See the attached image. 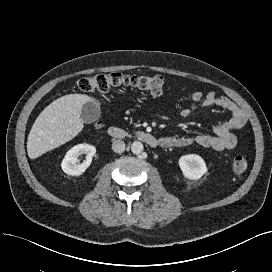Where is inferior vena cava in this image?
Returning a JSON list of instances; mask_svg holds the SVG:
<instances>
[{
	"label": "inferior vena cava",
	"instance_id": "obj_1",
	"mask_svg": "<svg viewBox=\"0 0 272 272\" xmlns=\"http://www.w3.org/2000/svg\"><path fill=\"white\" fill-rule=\"evenodd\" d=\"M112 150L115 153H122L125 151V143L122 140H116L112 144Z\"/></svg>",
	"mask_w": 272,
	"mask_h": 272
}]
</instances>
